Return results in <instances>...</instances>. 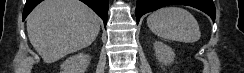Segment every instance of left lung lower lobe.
<instances>
[{"label": "left lung lower lobe", "mask_w": 244, "mask_h": 73, "mask_svg": "<svg viewBox=\"0 0 244 73\" xmlns=\"http://www.w3.org/2000/svg\"><path fill=\"white\" fill-rule=\"evenodd\" d=\"M188 5L197 8L208 14L212 20H215V6L212 0H137L136 20L139 23L140 17L148 12H152L167 5Z\"/></svg>", "instance_id": "0a47b994"}]
</instances>
